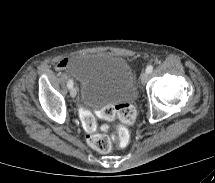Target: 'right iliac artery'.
Returning <instances> with one entry per match:
<instances>
[{
    "instance_id": "right-iliac-artery-1",
    "label": "right iliac artery",
    "mask_w": 215,
    "mask_h": 183,
    "mask_svg": "<svg viewBox=\"0 0 215 183\" xmlns=\"http://www.w3.org/2000/svg\"><path fill=\"white\" fill-rule=\"evenodd\" d=\"M67 86L69 89H71L73 87V80L69 79Z\"/></svg>"
}]
</instances>
